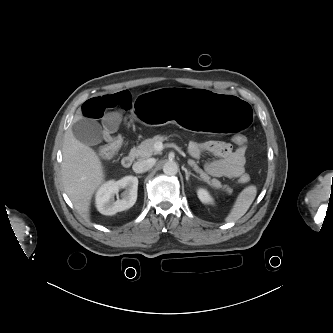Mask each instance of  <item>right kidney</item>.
I'll return each mask as SVG.
<instances>
[{
    "mask_svg": "<svg viewBox=\"0 0 333 333\" xmlns=\"http://www.w3.org/2000/svg\"><path fill=\"white\" fill-rule=\"evenodd\" d=\"M120 189H125L122 199L115 201V194H118ZM137 190L138 179L134 176H126L118 181H107L96 193V207L103 215H114L129 209L137 200Z\"/></svg>",
    "mask_w": 333,
    "mask_h": 333,
    "instance_id": "1",
    "label": "right kidney"
}]
</instances>
